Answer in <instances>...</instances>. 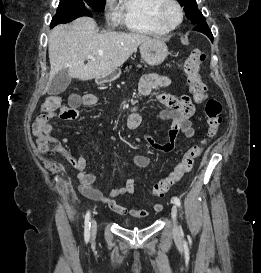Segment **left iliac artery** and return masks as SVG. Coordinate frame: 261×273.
Here are the masks:
<instances>
[{"instance_id": "1", "label": "left iliac artery", "mask_w": 261, "mask_h": 273, "mask_svg": "<svg viewBox=\"0 0 261 273\" xmlns=\"http://www.w3.org/2000/svg\"><path fill=\"white\" fill-rule=\"evenodd\" d=\"M173 200H174V203H175L177 206H180V205H181L180 199H179L178 197H173Z\"/></svg>"}]
</instances>
